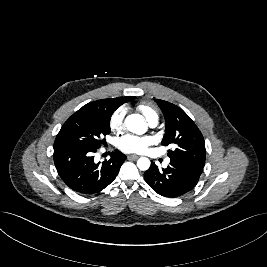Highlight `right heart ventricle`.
<instances>
[{
    "label": "right heart ventricle",
    "instance_id": "obj_1",
    "mask_svg": "<svg viewBox=\"0 0 267 267\" xmlns=\"http://www.w3.org/2000/svg\"><path fill=\"white\" fill-rule=\"evenodd\" d=\"M138 111L146 118L148 122L158 120L157 110L149 103H142L137 106Z\"/></svg>",
    "mask_w": 267,
    "mask_h": 267
}]
</instances>
